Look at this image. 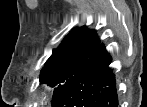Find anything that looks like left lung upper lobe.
<instances>
[{
	"instance_id": "1",
	"label": "left lung upper lobe",
	"mask_w": 147,
	"mask_h": 107,
	"mask_svg": "<svg viewBox=\"0 0 147 107\" xmlns=\"http://www.w3.org/2000/svg\"><path fill=\"white\" fill-rule=\"evenodd\" d=\"M100 40L95 30H88L86 26L73 29L53 51L41 70L40 82L54 89V99L84 63L97 51Z\"/></svg>"
}]
</instances>
